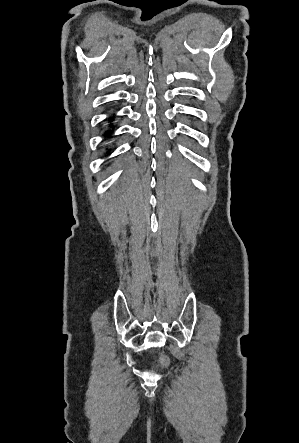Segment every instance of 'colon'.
Instances as JSON below:
<instances>
[{
	"instance_id": "obj_1",
	"label": "colon",
	"mask_w": 299,
	"mask_h": 443,
	"mask_svg": "<svg viewBox=\"0 0 299 443\" xmlns=\"http://www.w3.org/2000/svg\"><path fill=\"white\" fill-rule=\"evenodd\" d=\"M159 361H160L161 366H163V367H166L169 363L168 358L165 355H161Z\"/></svg>"
}]
</instances>
